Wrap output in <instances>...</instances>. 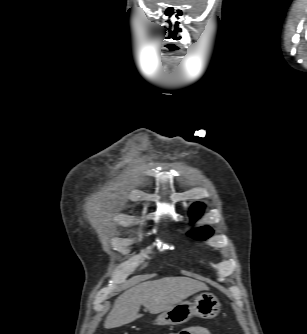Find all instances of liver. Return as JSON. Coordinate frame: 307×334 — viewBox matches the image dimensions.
<instances>
[{
	"instance_id": "1",
	"label": "liver",
	"mask_w": 307,
	"mask_h": 334,
	"mask_svg": "<svg viewBox=\"0 0 307 334\" xmlns=\"http://www.w3.org/2000/svg\"><path fill=\"white\" fill-rule=\"evenodd\" d=\"M208 289L206 284L188 277H165L140 283L115 300L104 327L111 329L131 323L142 316L139 314L141 305L151 314H157L198 291Z\"/></svg>"
}]
</instances>
